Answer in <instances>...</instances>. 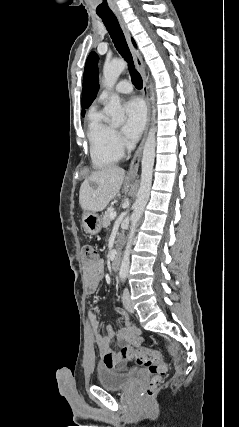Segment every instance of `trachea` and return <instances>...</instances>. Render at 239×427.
Masks as SVG:
<instances>
[{"label":"trachea","mask_w":239,"mask_h":427,"mask_svg":"<svg viewBox=\"0 0 239 427\" xmlns=\"http://www.w3.org/2000/svg\"><path fill=\"white\" fill-rule=\"evenodd\" d=\"M100 18L109 32L117 51L128 62V69L133 84L136 88L141 89L143 87L142 77L134 67L130 50L116 16L114 14H110L100 16Z\"/></svg>","instance_id":"obj_1"}]
</instances>
